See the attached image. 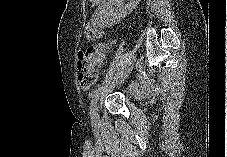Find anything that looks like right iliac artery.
<instances>
[{
  "mask_svg": "<svg viewBox=\"0 0 227 157\" xmlns=\"http://www.w3.org/2000/svg\"><path fill=\"white\" fill-rule=\"evenodd\" d=\"M101 89H102V87L100 86L98 89H96L94 91V94L92 95L91 107H90V116H91V119H92L93 122H94L95 116H96V104H97V100H98Z\"/></svg>",
  "mask_w": 227,
  "mask_h": 157,
  "instance_id": "right-iliac-artery-1",
  "label": "right iliac artery"
}]
</instances>
